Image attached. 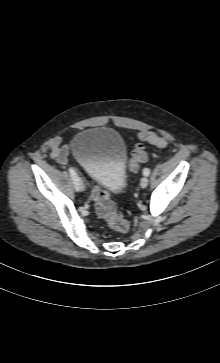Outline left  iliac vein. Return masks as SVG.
Wrapping results in <instances>:
<instances>
[{"mask_svg": "<svg viewBox=\"0 0 220 363\" xmlns=\"http://www.w3.org/2000/svg\"><path fill=\"white\" fill-rule=\"evenodd\" d=\"M148 182H149V180H148V178H147V177H142V178H141V181H140V186H141L142 188H146V187H147V185H148Z\"/></svg>", "mask_w": 220, "mask_h": 363, "instance_id": "obj_1", "label": "left iliac vein"}]
</instances>
